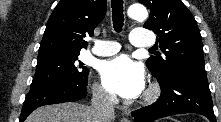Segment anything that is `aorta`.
Returning a JSON list of instances; mask_svg holds the SVG:
<instances>
[{"instance_id":"1","label":"aorta","mask_w":221,"mask_h":122,"mask_svg":"<svg viewBox=\"0 0 221 122\" xmlns=\"http://www.w3.org/2000/svg\"><path fill=\"white\" fill-rule=\"evenodd\" d=\"M128 16L133 20L142 22L147 19L148 12L144 5L137 3L129 7Z\"/></svg>"}]
</instances>
